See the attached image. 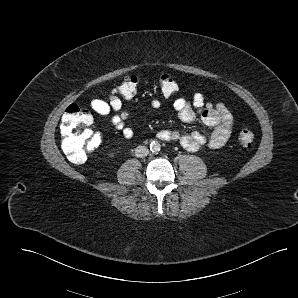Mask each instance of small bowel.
<instances>
[{"label": "small bowel", "instance_id": "c3829d8e", "mask_svg": "<svg viewBox=\"0 0 298 298\" xmlns=\"http://www.w3.org/2000/svg\"><path fill=\"white\" fill-rule=\"evenodd\" d=\"M150 106L153 109H159L161 102L158 99H152ZM91 108L98 115L110 116L111 123L124 138L130 139L134 136L135 128L127 124L131 114L122 109V102L117 96L110 95L107 99H94L91 101ZM173 108L181 121L190 123L200 118L204 124L214 129L209 136L198 131L179 132L166 129L159 132L160 139L176 140L184 149L195 152L202 147L221 148L230 138L234 127V117L223 103L207 101L202 93L197 92L190 100L183 97L175 99Z\"/></svg>", "mask_w": 298, "mask_h": 298}]
</instances>
